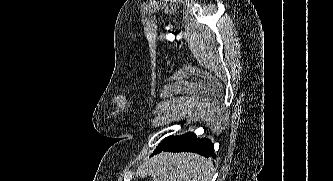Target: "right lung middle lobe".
Here are the masks:
<instances>
[{
	"label": "right lung middle lobe",
	"mask_w": 333,
	"mask_h": 181,
	"mask_svg": "<svg viewBox=\"0 0 333 181\" xmlns=\"http://www.w3.org/2000/svg\"><path fill=\"white\" fill-rule=\"evenodd\" d=\"M188 133L184 134V135H180V136H171V137H167L165 138L161 144L159 146H167L170 145L174 142H176L178 139L182 138L183 136L187 135Z\"/></svg>",
	"instance_id": "dd1d6c3e"
}]
</instances>
